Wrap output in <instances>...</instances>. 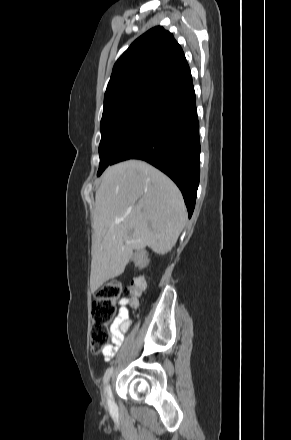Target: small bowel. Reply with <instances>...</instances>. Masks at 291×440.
I'll list each match as a JSON object with an SVG mask.
<instances>
[{
    "label": "small bowel",
    "instance_id": "small-bowel-1",
    "mask_svg": "<svg viewBox=\"0 0 291 440\" xmlns=\"http://www.w3.org/2000/svg\"><path fill=\"white\" fill-rule=\"evenodd\" d=\"M119 305L118 314L110 325L111 343L103 352L106 360H110L114 356L116 348L121 345L124 340V334L133 323L129 317L126 300L122 299Z\"/></svg>",
    "mask_w": 291,
    "mask_h": 440
}]
</instances>
